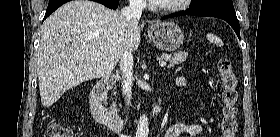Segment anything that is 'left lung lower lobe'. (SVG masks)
Masks as SVG:
<instances>
[{
	"mask_svg": "<svg viewBox=\"0 0 280 137\" xmlns=\"http://www.w3.org/2000/svg\"><path fill=\"white\" fill-rule=\"evenodd\" d=\"M183 15L208 16L223 19L234 29L238 38L240 39L239 21L236 17L235 11L220 8L189 9L172 15L164 16L162 19Z\"/></svg>",
	"mask_w": 280,
	"mask_h": 137,
	"instance_id": "0a47b994",
	"label": "left lung lower lobe"
}]
</instances>
